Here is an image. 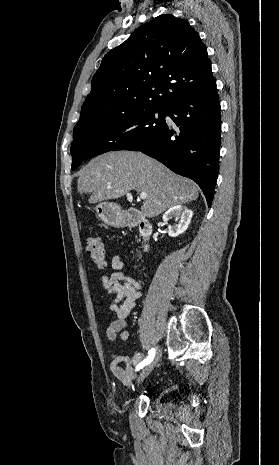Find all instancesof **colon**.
<instances>
[{
    "label": "colon",
    "mask_w": 279,
    "mask_h": 465,
    "mask_svg": "<svg viewBox=\"0 0 279 465\" xmlns=\"http://www.w3.org/2000/svg\"><path fill=\"white\" fill-rule=\"evenodd\" d=\"M86 250L91 260L99 267L106 265V255L102 241L97 237H90L86 242Z\"/></svg>",
    "instance_id": "colon-1"
}]
</instances>
